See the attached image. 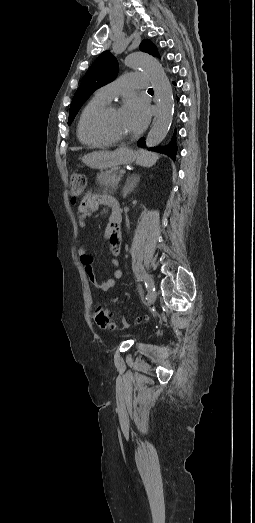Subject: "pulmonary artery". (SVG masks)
Returning <instances> with one entry per match:
<instances>
[{"label": "pulmonary artery", "instance_id": "obj_1", "mask_svg": "<svg viewBox=\"0 0 255 523\" xmlns=\"http://www.w3.org/2000/svg\"><path fill=\"white\" fill-rule=\"evenodd\" d=\"M120 78L123 81L118 80L119 86L115 84L117 83V80H114V83L101 87L99 92L108 99H113L118 94L127 96L132 91L138 92L140 90H147V83L150 80V77L141 71L122 73Z\"/></svg>", "mask_w": 255, "mask_h": 523}]
</instances>
